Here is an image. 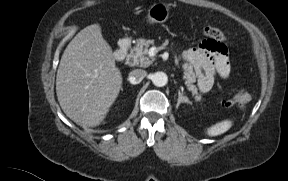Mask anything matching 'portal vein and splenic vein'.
<instances>
[{"label":"portal vein and splenic vein","instance_id":"portal-vein-and-splenic-vein-1","mask_svg":"<svg viewBox=\"0 0 288 181\" xmlns=\"http://www.w3.org/2000/svg\"><path fill=\"white\" fill-rule=\"evenodd\" d=\"M154 55V48H151L150 50H149V56H153Z\"/></svg>","mask_w":288,"mask_h":181}]
</instances>
